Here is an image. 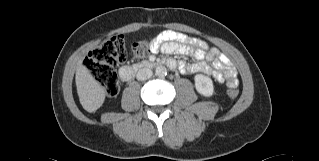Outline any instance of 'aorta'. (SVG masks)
I'll return each instance as SVG.
<instances>
[{"instance_id": "762f6f07", "label": "aorta", "mask_w": 319, "mask_h": 161, "mask_svg": "<svg viewBox=\"0 0 319 161\" xmlns=\"http://www.w3.org/2000/svg\"><path fill=\"white\" fill-rule=\"evenodd\" d=\"M155 75L158 77H164L167 75V69L165 66H158L155 69Z\"/></svg>"}]
</instances>
